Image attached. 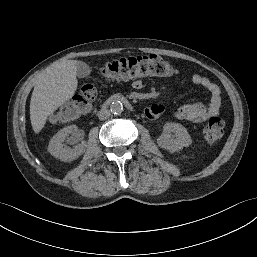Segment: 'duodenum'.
<instances>
[{
  "label": "duodenum",
  "instance_id": "410a0bca",
  "mask_svg": "<svg viewBox=\"0 0 257 257\" xmlns=\"http://www.w3.org/2000/svg\"><path fill=\"white\" fill-rule=\"evenodd\" d=\"M112 102H122L124 105H126L128 108H132V104L128 98L122 95H114L109 97L107 100L104 101L103 106H107L108 104Z\"/></svg>",
  "mask_w": 257,
  "mask_h": 257
}]
</instances>
